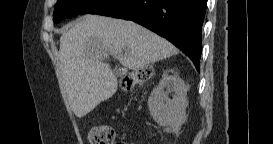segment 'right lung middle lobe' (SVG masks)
Masks as SVG:
<instances>
[{"instance_id":"right-lung-middle-lobe-1","label":"right lung middle lobe","mask_w":273,"mask_h":144,"mask_svg":"<svg viewBox=\"0 0 273 144\" xmlns=\"http://www.w3.org/2000/svg\"><path fill=\"white\" fill-rule=\"evenodd\" d=\"M109 0H58L55 5L53 19L59 23L65 18L94 11Z\"/></svg>"}]
</instances>
